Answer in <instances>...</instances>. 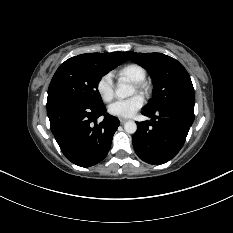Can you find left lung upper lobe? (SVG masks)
Here are the masks:
<instances>
[{
    "mask_svg": "<svg viewBox=\"0 0 233 233\" xmlns=\"http://www.w3.org/2000/svg\"><path fill=\"white\" fill-rule=\"evenodd\" d=\"M125 54L131 61L146 68L153 79V98L145 109L156 111L180 106L194 110V88L188 72L180 62L162 53Z\"/></svg>",
    "mask_w": 233,
    "mask_h": 233,
    "instance_id": "left-lung-upper-lobe-1",
    "label": "left lung upper lobe"
}]
</instances>
